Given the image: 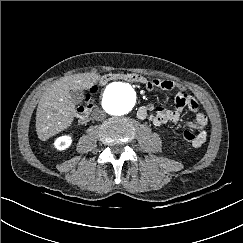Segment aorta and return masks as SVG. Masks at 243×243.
<instances>
[{
  "instance_id": "aorta-1",
  "label": "aorta",
  "mask_w": 243,
  "mask_h": 243,
  "mask_svg": "<svg viewBox=\"0 0 243 243\" xmlns=\"http://www.w3.org/2000/svg\"><path fill=\"white\" fill-rule=\"evenodd\" d=\"M133 88L129 84L115 82L107 86L102 104L112 115H124L134 106Z\"/></svg>"
}]
</instances>
